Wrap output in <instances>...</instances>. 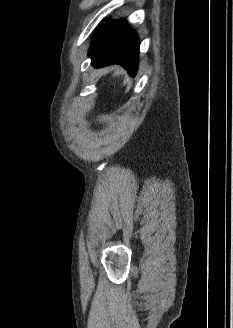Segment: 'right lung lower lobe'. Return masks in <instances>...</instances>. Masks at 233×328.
I'll list each match as a JSON object with an SVG mask.
<instances>
[{"instance_id":"98d812e1","label":"right lung lower lobe","mask_w":233,"mask_h":328,"mask_svg":"<svg viewBox=\"0 0 233 328\" xmlns=\"http://www.w3.org/2000/svg\"><path fill=\"white\" fill-rule=\"evenodd\" d=\"M138 54L139 39L123 19L102 24L93 38L90 50L96 68L120 64L131 76L136 74Z\"/></svg>"}]
</instances>
